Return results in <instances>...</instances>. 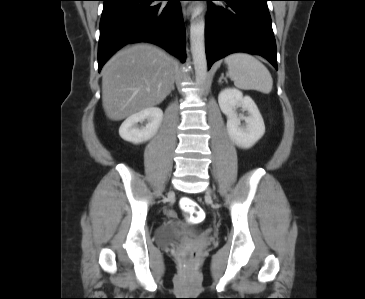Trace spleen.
<instances>
[{
  "label": "spleen",
  "instance_id": "spleen-1",
  "mask_svg": "<svg viewBox=\"0 0 365 299\" xmlns=\"http://www.w3.org/2000/svg\"><path fill=\"white\" fill-rule=\"evenodd\" d=\"M228 76L234 85L243 90L269 93L273 80L268 69L259 60L247 53H234L225 58Z\"/></svg>",
  "mask_w": 365,
  "mask_h": 299
}]
</instances>
